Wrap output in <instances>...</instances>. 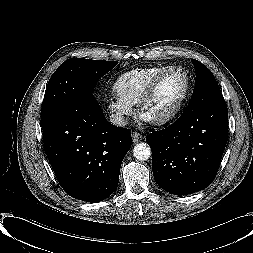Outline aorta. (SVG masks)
Returning a JSON list of instances; mask_svg holds the SVG:
<instances>
[{
  "label": "aorta",
  "instance_id": "aorta-1",
  "mask_svg": "<svg viewBox=\"0 0 253 253\" xmlns=\"http://www.w3.org/2000/svg\"><path fill=\"white\" fill-rule=\"evenodd\" d=\"M133 155L138 160H147L151 156V148L146 143H139L134 147Z\"/></svg>",
  "mask_w": 253,
  "mask_h": 253
}]
</instances>
